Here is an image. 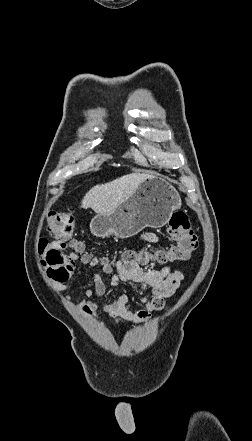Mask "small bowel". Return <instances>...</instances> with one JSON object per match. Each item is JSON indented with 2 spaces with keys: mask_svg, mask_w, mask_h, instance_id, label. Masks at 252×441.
<instances>
[{
  "mask_svg": "<svg viewBox=\"0 0 252 441\" xmlns=\"http://www.w3.org/2000/svg\"><path fill=\"white\" fill-rule=\"evenodd\" d=\"M142 239L149 243H157L159 240L153 233L142 234ZM77 261L90 267H95L99 264V259L88 253H73L69 255L67 263L68 276L65 280L58 282L59 287L65 288L67 286L73 275L74 263ZM102 270L105 274L111 275L110 285L112 287H117L120 282L134 283L145 293V295L139 297L145 308L138 311L128 309V296L125 293H116L103 306V310L114 319L115 323H120L122 320L134 323L146 322L151 317L152 312L163 309L165 299L175 293L184 277L182 270H173L168 266L161 269L144 270L138 263H126L122 260L118 261L116 268H114L110 261H104ZM93 283V289H86L82 293L83 302L80 306L82 312L87 315L95 314L97 310V305L94 302L88 301V299L94 295L103 297L106 293V285L100 275L95 274L93 276Z\"/></svg>",
  "mask_w": 252,
  "mask_h": 441,
  "instance_id": "1",
  "label": "small bowel"
}]
</instances>
